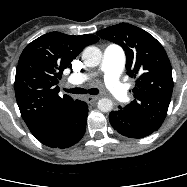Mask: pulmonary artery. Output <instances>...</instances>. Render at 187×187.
Instances as JSON below:
<instances>
[{"instance_id": "e3ab8cb5", "label": "pulmonary artery", "mask_w": 187, "mask_h": 187, "mask_svg": "<svg viewBox=\"0 0 187 187\" xmlns=\"http://www.w3.org/2000/svg\"><path fill=\"white\" fill-rule=\"evenodd\" d=\"M125 64V54L123 49L115 44L109 45L103 54V60L100 65V71L104 75V82L111 93L121 101L127 99V91L120 81V75ZM89 79L88 73L73 74L68 82L74 85H80Z\"/></svg>"}]
</instances>
